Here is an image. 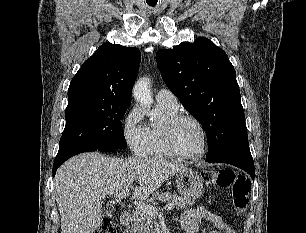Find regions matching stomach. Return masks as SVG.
Wrapping results in <instances>:
<instances>
[{
  "label": "stomach",
  "instance_id": "stomach-1",
  "mask_svg": "<svg viewBox=\"0 0 306 233\" xmlns=\"http://www.w3.org/2000/svg\"><path fill=\"white\" fill-rule=\"evenodd\" d=\"M176 185L179 193L185 198L197 199L204 192L203 181L200 176L190 169L178 174Z\"/></svg>",
  "mask_w": 306,
  "mask_h": 233
}]
</instances>
